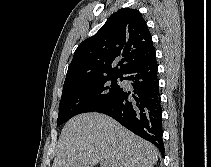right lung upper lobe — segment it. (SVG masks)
I'll return each mask as SVG.
<instances>
[{"instance_id":"obj_1","label":"right lung upper lobe","mask_w":211,"mask_h":167,"mask_svg":"<svg viewBox=\"0 0 211 167\" xmlns=\"http://www.w3.org/2000/svg\"><path fill=\"white\" fill-rule=\"evenodd\" d=\"M155 55L152 36L141 13L122 8L78 46L63 87L98 77L123 76Z\"/></svg>"}]
</instances>
